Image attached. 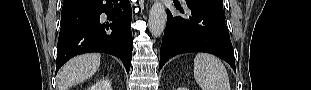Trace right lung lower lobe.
Returning <instances> with one entry per match:
<instances>
[{"label": "right lung lower lobe", "mask_w": 311, "mask_h": 90, "mask_svg": "<svg viewBox=\"0 0 311 90\" xmlns=\"http://www.w3.org/2000/svg\"><path fill=\"white\" fill-rule=\"evenodd\" d=\"M129 0H67L61 12L56 72L70 58L102 52L121 59L129 72L132 58Z\"/></svg>", "instance_id": "1"}]
</instances>
